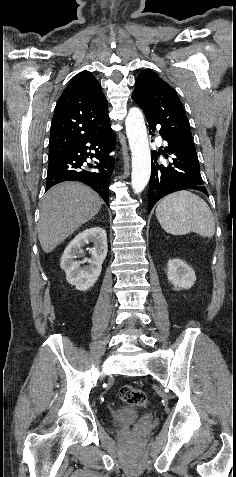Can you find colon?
Instances as JSON below:
<instances>
[{"instance_id":"5ec220e1","label":"colon","mask_w":236,"mask_h":477,"mask_svg":"<svg viewBox=\"0 0 236 477\" xmlns=\"http://www.w3.org/2000/svg\"><path fill=\"white\" fill-rule=\"evenodd\" d=\"M120 399L132 406H144L147 402L145 394L132 385H124L119 390Z\"/></svg>"}]
</instances>
